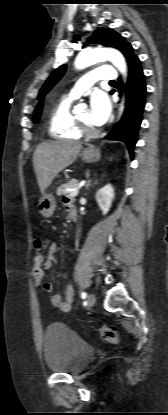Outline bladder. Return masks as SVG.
<instances>
[{"instance_id":"obj_1","label":"bladder","mask_w":168,"mask_h":415,"mask_svg":"<svg viewBox=\"0 0 168 415\" xmlns=\"http://www.w3.org/2000/svg\"><path fill=\"white\" fill-rule=\"evenodd\" d=\"M43 355L49 370L73 375L89 364L94 349L65 324L52 323L44 333Z\"/></svg>"}]
</instances>
